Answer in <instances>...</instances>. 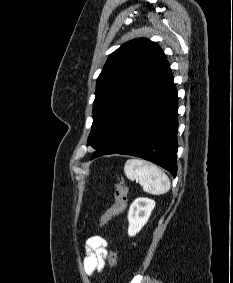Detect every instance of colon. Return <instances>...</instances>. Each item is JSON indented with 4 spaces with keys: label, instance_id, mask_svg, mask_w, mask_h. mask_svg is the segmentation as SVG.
I'll return each mask as SVG.
<instances>
[{
    "label": "colon",
    "instance_id": "colon-1",
    "mask_svg": "<svg viewBox=\"0 0 233 283\" xmlns=\"http://www.w3.org/2000/svg\"><path fill=\"white\" fill-rule=\"evenodd\" d=\"M114 188V204L102 215L100 225L105 226L113 217L122 213L128 200V190L122 181L116 182ZM108 262L112 268L117 266L118 260L115 252H108Z\"/></svg>",
    "mask_w": 233,
    "mask_h": 283
}]
</instances>
